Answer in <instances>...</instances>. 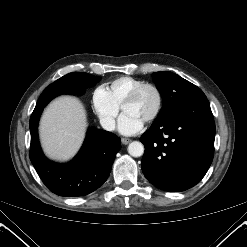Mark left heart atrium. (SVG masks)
Here are the masks:
<instances>
[{
	"mask_svg": "<svg viewBox=\"0 0 247 247\" xmlns=\"http://www.w3.org/2000/svg\"><path fill=\"white\" fill-rule=\"evenodd\" d=\"M144 125V121L129 113L121 115L118 121L119 132L123 135H133L139 132Z\"/></svg>",
	"mask_w": 247,
	"mask_h": 247,
	"instance_id": "1",
	"label": "left heart atrium"
}]
</instances>
